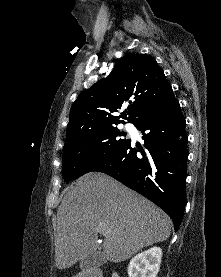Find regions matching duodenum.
Wrapping results in <instances>:
<instances>
[{"label": "duodenum", "instance_id": "obj_1", "mask_svg": "<svg viewBox=\"0 0 221 277\" xmlns=\"http://www.w3.org/2000/svg\"><path fill=\"white\" fill-rule=\"evenodd\" d=\"M84 277H102L101 272L97 269H91L87 271L84 275ZM112 277H119L117 274H113Z\"/></svg>", "mask_w": 221, "mask_h": 277}]
</instances>
